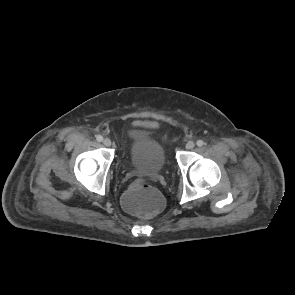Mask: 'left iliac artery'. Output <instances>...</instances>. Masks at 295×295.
I'll return each mask as SVG.
<instances>
[{
  "label": "left iliac artery",
  "mask_w": 295,
  "mask_h": 295,
  "mask_svg": "<svg viewBox=\"0 0 295 295\" xmlns=\"http://www.w3.org/2000/svg\"><path fill=\"white\" fill-rule=\"evenodd\" d=\"M196 144H197V146L201 147V146L204 145V142H203L202 140H198V141L196 142Z\"/></svg>",
  "instance_id": "44dca946"
}]
</instances>
